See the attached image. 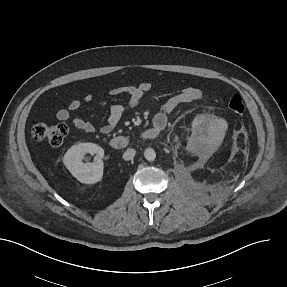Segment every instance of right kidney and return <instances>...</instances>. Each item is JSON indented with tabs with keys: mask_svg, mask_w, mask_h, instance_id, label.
I'll return each instance as SVG.
<instances>
[{
	"mask_svg": "<svg viewBox=\"0 0 287 287\" xmlns=\"http://www.w3.org/2000/svg\"><path fill=\"white\" fill-rule=\"evenodd\" d=\"M87 153L95 155V162L84 163L82 158ZM104 150L94 143H79L73 145L65 153L63 163L70 173L81 183L94 184L103 176Z\"/></svg>",
	"mask_w": 287,
	"mask_h": 287,
	"instance_id": "ca27d5eb",
	"label": "right kidney"
}]
</instances>
